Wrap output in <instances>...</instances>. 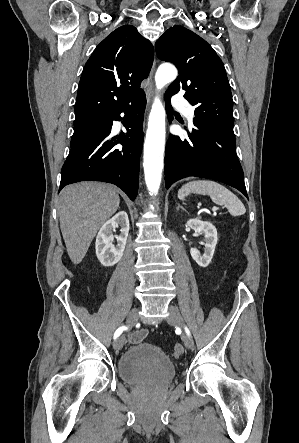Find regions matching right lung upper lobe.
Wrapping results in <instances>:
<instances>
[{
    "instance_id": "obj_1",
    "label": "right lung upper lobe",
    "mask_w": 299,
    "mask_h": 443,
    "mask_svg": "<svg viewBox=\"0 0 299 443\" xmlns=\"http://www.w3.org/2000/svg\"><path fill=\"white\" fill-rule=\"evenodd\" d=\"M154 47L134 26L108 35L87 61L78 86L75 123L101 117L129 104L143 90L152 67Z\"/></svg>"
}]
</instances>
